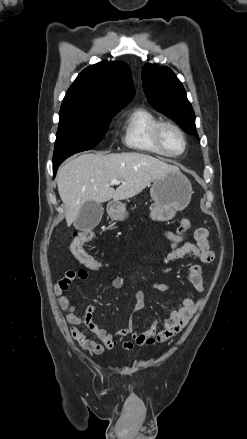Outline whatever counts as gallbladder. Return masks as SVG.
<instances>
[{
    "instance_id": "bac80fb5",
    "label": "gallbladder",
    "mask_w": 247,
    "mask_h": 439,
    "mask_svg": "<svg viewBox=\"0 0 247 439\" xmlns=\"http://www.w3.org/2000/svg\"><path fill=\"white\" fill-rule=\"evenodd\" d=\"M103 211L104 208L101 203L91 200L85 202L74 222L75 228L78 230H91L95 228L101 221Z\"/></svg>"
}]
</instances>
